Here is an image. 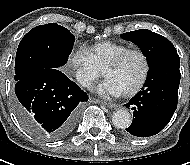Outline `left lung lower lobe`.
Here are the masks:
<instances>
[{
	"label": "left lung lower lobe",
	"instance_id": "0a47b994",
	"mask_svg": "<svg viewBox=\"0 0 190 165\" xmlns=\"http://www.w3.org/2000/svg\"><path fill=\"white\" fill-rule=\"evenodd\" d=\"M179 56L151 66L141 91L125 104L134 110L133 122L126 131L137 137L159 133L171 120L178 99L180 83Z\"/></svg>",
	"mask_w": 190,
	"mask_h": 165
}]
</instances>
